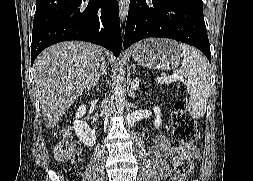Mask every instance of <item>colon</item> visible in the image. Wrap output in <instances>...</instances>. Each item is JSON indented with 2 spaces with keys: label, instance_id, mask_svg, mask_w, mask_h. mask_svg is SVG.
Here are the masks:
<instances>
[{
  "label": "colon",
  "instance_id": "obj_1",
  "mask_svg": "<svg viewBox=\"0 0 253 181\" xmlns=\"http://www.w3.org/2000/svg\"><path fill=\"white\" fill-rule=\"evenodd\" d=\"M174 139L179 142L186 150H190L198 139L196 122L186 109V103L178 100L174 105L171 117ZM72 144L62 141L56 147V155L59 159H66L72 153ZM193 162L189 155L182 156L175 167L174 181H183L191 173Z\"/></svg>",
  "mask_w": 253,
  "mask_h": 181
}]
</instances>
